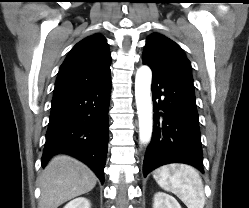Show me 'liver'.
<instances>
[{
    "instance_id": "6515ba94",
    "label": "liver",
    "mask_w": 249,
    "mask_h": 208,
    "mask_svg": "<svg viewBox=\"0 0 249 208\" xmlns=\"http://www.w3.org/2000/svg\"><path fill=\"white\" fill-rule=\"evenodd\" d=\"M96 183V175L79 160L67 155L54 156L39 177V208H58L70 199L88 193Z\"/></svg>"
}]
</instances>
